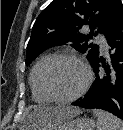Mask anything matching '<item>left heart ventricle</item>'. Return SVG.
I'll use <instances>...</instances> for the list:
<instances>
[{
  "label": "left heart ventricle",
  "instance_id": "b2bd125f",
  "mask_svg": "<svg viewBox=\"0 0 123 130\" xmlns=\"http://www.w3.org/2000/svg\"><path fill=\"white\" fill-rule=\"evenodd\" d=\"M86 74L83 68L72 60L60 61L51 74V84L55 92L62 97H70L83 86Z\"/></svg>",
  "mask_w": 123,
  "mask_h": 130
}]
</instances>
